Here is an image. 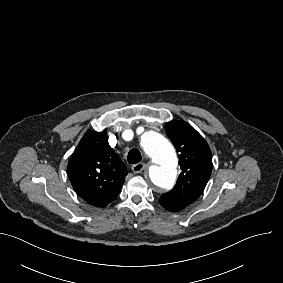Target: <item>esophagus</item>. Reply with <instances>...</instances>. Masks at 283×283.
<instances>
[{"mask_svg":"<svg viewBox=\"0 0 283 283\" xmlns=\"http://www.w3.org/2000/svg\"><path fill=\"white\" fill-rule=\"evenodd\" d=\"M145 167H146V164H145V163H137V164L133 165V166L131 167V169H132V171H133L134 173H139V172H141Z\"/></svg>","mask_w":283,"mask_h":283,"instance_id":"esophagus-1","label":"esophagus"}]
</instances>
